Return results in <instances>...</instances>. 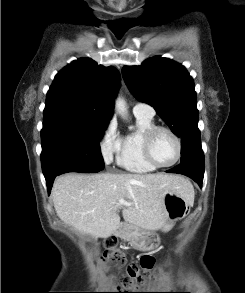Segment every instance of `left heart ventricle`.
Returning a JSON list of instances; mask_svg holds the SVG:
<instances>
[{
	"mask_svg": "<svg viewBox=\"0 0 245 293\" xmlns=\"http://www.w3.org/2000/svg\"><path fill=\"white\" fill-rule=\"evenodd\" d=\"M152 154L160 164H167L174 160L177 154V146L172 136L165 132H158L152 143Z\"/></svg>",
	"mask_w": 245,
	"mask_h": 293,
	"instance_id": "obj_1",
	"label": "left heart ventricle"
}]
</instances>
